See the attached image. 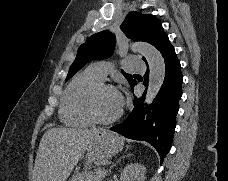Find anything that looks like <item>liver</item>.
<instances>
[{"mask_svg": "<svg viewBox=\"0 0 228 181\" xmlns=\"http://www.w3.org/2000/svg\"><path fill=\"white\" fill-rule=\"evenodd\" d=\"M102 129H48L38 147L33 181H66Z\"/></svg>", "mask_w": 228, "mask_h": 181, "instance_id": "6515ba94", "label": "liver"}]
</instances>
